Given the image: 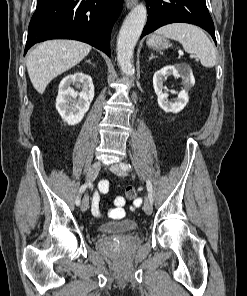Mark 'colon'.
Masks as SVG:
<instances>
[{"mask_svg": "<svg viewBox=\"0 0 247 296\" xmlns=\"http://www.w3.org/2000/svg\"><path fill=\"white\" fill-rule=\"evenodd\" d=\"M136 197V190L133 188V187H129L126 189V192H125V196L123 198V200H133L134 198ZM116 203L117 204H121L122 201L121 200H116ZM123 215V213L121 211H117L114 216L115 218H119Z\"/></svg>", "mask_w": 247, "mask_h": 296, "instance_id": "colon-1", "label": "colon"}]
</instances>
